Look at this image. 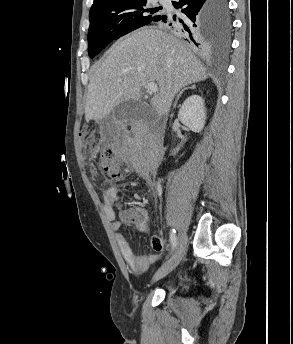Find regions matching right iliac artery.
<instances>
[{"instance_id": "obj_1", "label": "right iliac artery", "mask_w": 293, "mask_h": 344, "mask_svg": "<svg viewBox=\"0 0 293 344\" xmlns=\"http://www.w3.org/2000/svg\"><path fill=\"white\" fill-rule=\"evenodd\" d=\"M170 242L172 245V250H174L177 246V237L175 229H171L170 231Z\"/></svg>"}]
</instances>
